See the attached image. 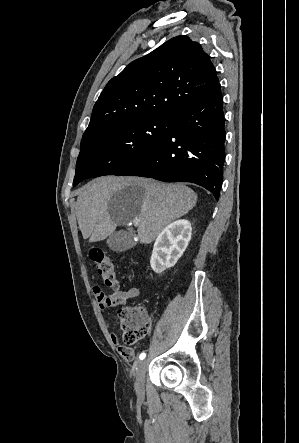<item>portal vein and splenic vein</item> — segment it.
Returning <instances> with one entry per match:
<instances>
[{
	"instance_id": "portal-vein-and-splenic-vein-1",
	"label": "portal vein and splenic vein",
	"mask_w": 299,
	"mask_h": 443,
	"mask_svg": "<svg viewBox=\"0 0 299 443\" xmlns=\"http://www.w3.org/2000/svg\"><path fill=\"white\" fill-rule=\"evenodd\" d=\"M139 219L138 218H135V219H133V221H132V223L135 225V226H137L138 224H139Z\"/></svg>"
}]
</instances>
